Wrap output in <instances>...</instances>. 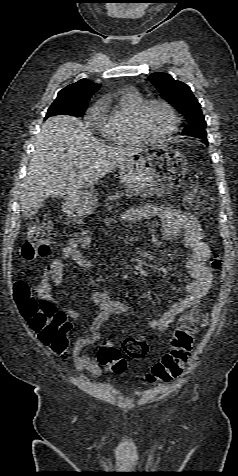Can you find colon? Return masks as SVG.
<instances>
[{
	"label": "colon",
	"instance_id": "obj_1",
	"mask_svg": "<svg viewBox=\"0 0 238 476\" xmlns=\"http://www.w3.org/2000/svg\"><path fill=\"white\" fill-rule=\"evenodd\" d=\"M185 201L187 206L196 212H207L213 206L211 197L195 183L186 188ZM50 226L42 218L32 219L27 228V237L21 248L24 259L34 260L48 255ZM221 266L218 255H213L211 267L215 270ZM14 296L23 318L36 333L43 345L58 354L68 350V334L71 329L66 316L57 310L54 304L37 300L29 286L19 281L14 285ZM208 312L205 307L197 305L182 316L174 330L170 350L145 375L147 384L169 382L179 377L190 357L194 338L197 332L208 326ZM148 353V343L145 338L130 337L123 341L122 348H116L104 343L97 352L99 363L120 374L125 370V356L140 360Z\"/></svg>",
	"mask_w": 238,
	"mask_h": 476
}]
</instances>
